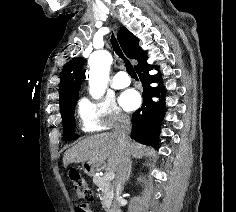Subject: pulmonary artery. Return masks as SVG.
I'll use <instances>...</instances> for the list:
<instances>
[{"label": "pulmonary artery", "mask_w": 236, "mask_h": 212, "mask_svg": "<svg viewBox=\"0 0 236 212\" xmlns=\"http://www.w3.org/2000/svg\"><path fill=\"white\" fill-rule=\"evenodd\" d=\"M131 80L129 76L125 72H118L113 78V87L115 88H124L129 86Z\"/></svg>", "instance_id": "pulmonary-artery-1"}]
</instances>
